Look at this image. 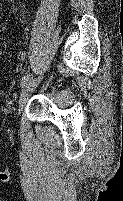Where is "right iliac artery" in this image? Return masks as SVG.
<instances>
[{
  "instance_id": "82829eb1",
  "label": "right iliac artery",
  "mask_w": 123,
  "mask_h": 201,
  "mask_svg": "<svg viewBox=\"0 0 123 201\" xmlns=\"http://www.w3.org/2000/svg\"><path fill=\"white\" fill-rule=\"evenodd\" d=\"M31 78H32V74H30V73L26 74V75L22 78V80H21L20 87H21V88L24 87L25 84H27V82H28Z\"/></svg>"
}]
</instances>
